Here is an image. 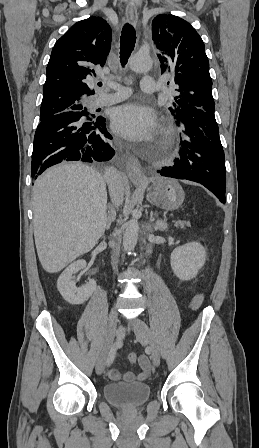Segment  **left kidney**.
Here are the masks:
<instances>
[{
	"label": "left kidney",
	"mask_w": 259,
	"mask_h": 448,
	"mask_svg": "<svg viewBox=\"0 0 259 448\" xmlns=\"http://www.w3.org/2000/svg\"><path fill=\"white\" fill-rule=\"evenodd\" d=\"M205 256V248L197 242L178 246L171 254V268L179 280H192L204 266Z\"/></svg>",
	"instance_id": "5707ae66"
}]
</instances>
